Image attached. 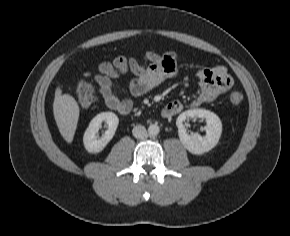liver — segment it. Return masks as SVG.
Masks as SVG:
<instances>
[{
    "label": "liver",
    "mask_w": 290,
    "mask_h": 236,
    "mask_svg": "<svg viewBox=\"0 0 290 236\" xmlns=\"http://www.w3.org/2000/svg\"><path fill=\"white\" fill-rule=\"evenodd\" d=\"M53 114L60 134L66 142L71 143L79 119V106L74 97L62 94L59 86L55 90Z\"/></svg>",
    "instance_id": "1"
}]
</instances>
